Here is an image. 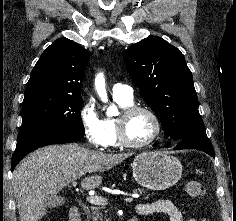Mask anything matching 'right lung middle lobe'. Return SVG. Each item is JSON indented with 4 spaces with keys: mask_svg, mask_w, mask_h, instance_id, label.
Instances as JSON below:
<instances>
[{
    "mask_svg": "<svg viewBox=\"0 0 236 221\" xmlns=\"http://www.w3.org/2000/svg\"><path fill=\"white\" fill-rule=\"evenodd\" d=\"M81 95L35 92L24 95L20 133L35 128L63 129L83 133ZM19 133V134H20Z\"/></svg>",
    "mask_w": 236,
    "mask_h": 221,
    "instance_id": "obj_1",
    "label": "right lung middle lobe"
}]
</instances>
